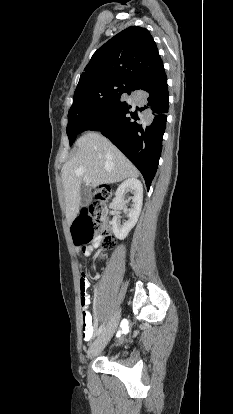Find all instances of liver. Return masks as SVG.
<instances>
[{
    "label": "liver",
    "instance_id": "obj_1",
    "mask_svg": "<svg viewBox=\"0 0 233 414\" xmlns=\"http://www.w3.org/2000/svg\"><path fill=\"white\" fill-rule=\"evenodd\" d=\"M75 145L76 154L61 170L69 224L79 213L82 184H91L96 188L101 184H112L139 176L136 167L100 133H86Z\"/></svg>",
    "mask_w": 233,
    "mask_h": 414
}]
</instances>
